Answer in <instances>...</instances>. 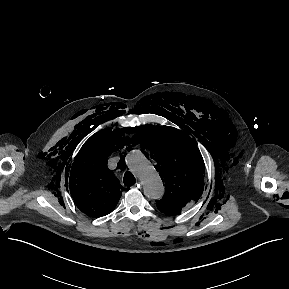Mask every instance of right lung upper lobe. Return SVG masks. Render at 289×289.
Returning <instances> with one entry per match:
<instances>
[{
	"label": "right lung upper lobe",
	"instance_id": "right-lung-upper-lobe-1",
	"mask_svg": "<svg viewBox=\"0 0 289 289\" xmlns=\"http://www.w3.org/2000/svg\"><path fill=\"white\" fill-rule=\"evenodd\" d=\"M114 130L95 134L82 146L70 172V193L86 215L101 217L113 211L123 187L107 168L108 156L127 144L128 137Z\"/></svg>",
	"mask_w": 289,
	"mask_h": 289
}]
</instances>
